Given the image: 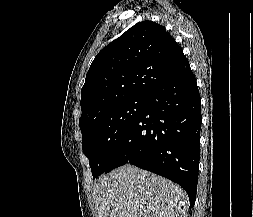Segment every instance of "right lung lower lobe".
Here are the masks:
<instances>
[{
  "label": "right lung lower lobe",
  "instance_id": "1",
  "mask_svg": "<svg viewBox=\"0 0 253 217\" xmlns=\"http://www.w3.org/2000/svg\"><path fill=\"white\" fill-rule=\"evenodd\" d=\"M201 99L188 60L147 97L143 111L113 154L109 172L126 163L178 183L195 204Z\"/></svg>",
  "mask_w": 253,
  "mask_h": 217
}]
</instances>
